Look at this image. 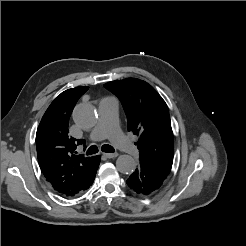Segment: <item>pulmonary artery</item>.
Wrapping results in <instances>:
<instances>
[{"mask_svg":"<svg viewBox=\"0 0 246 246\" xmlns=\"http://www.w3.org/2000/svg\"><path fill=\"white\" fill-rule=\"evenodd\" d=\"M118 100L114 97H104L98 106V121L90 133L91 141L110 139L113 144L130 156H139L138 148L130 142L118 126Z\"/></svg>","mask_w":246,"mask_h":246,"instance_id":"1","label":"pulmonary artery"}]
</instances>
